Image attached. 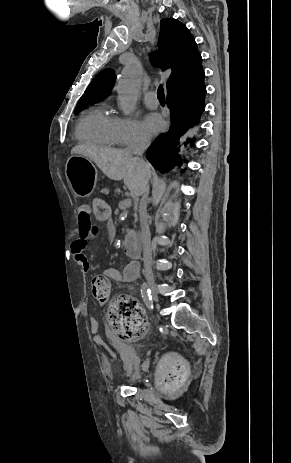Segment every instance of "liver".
Segmentation results:
<instances>
[{
    "instance_id": "liver-1",
    "label": "liver",
    "mask_w": 291,
    "mask_h": 463,
    "mask_svg": "<svg viewBox=\"0 0 291 463\" xmlns=\"http://www.w3.org/2000/svg\"><path fill=\"white\" fill-rule=\"evenodd\" d=\"M72 154L82 155L94 161L101 171L110 179H123L127 188L136 196H140L151 178V171L142 165L136 157L127 150L77 145L72 148Z\"/></svg>"
}]
</instances>
